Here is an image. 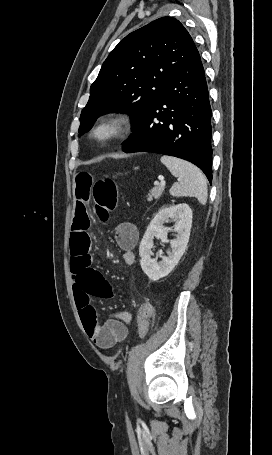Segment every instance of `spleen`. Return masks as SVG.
Listing matches in <instances>:
<instances>
[{
	"instance_id": "3e777b00",
	"label": "spleen",
	"mask_w": 272,
	"mask_h": 455,
	"mask_svg": "<svg viewBox=\"0 0 272 455\" xmlns=\"http://www.w3.org/2000/svg\"><path fill=\"white\" fill-rule=\"evenodd\" d=\"M161 162L177 177L178 182L170 188L173 197H195L202 204L207 202V180L193 164L171 156H162Z\"/></svg>"
}]
</instances>
